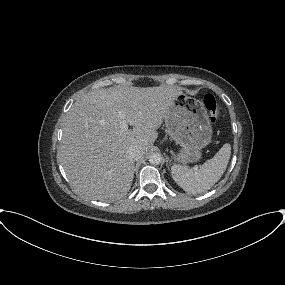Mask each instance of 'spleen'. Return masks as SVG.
Returning <instances> with one entry per match:
<instances>
[{"label":"spleen","instance_id":"1","mask_svg":"<svg viewBox=\"0 0 285 285\" xmlns=\"http://www.w3.org/2000/svg\"><path fill=\"white\" fill-rule=\"evenodd\" d=\"M231 155V146L226 143L207 160L198 171L187 169L180 165L171 168L174 181L188 194H200L211 189L225 172Z\"/></svg>","mask_w":285,"mask_h":285}]
</instances>
